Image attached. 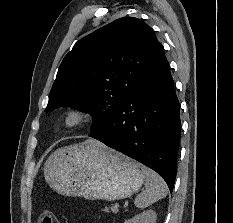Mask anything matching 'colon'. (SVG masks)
Wrapping results in <instances>:
<instances>
[{
  "instance_id": "5ec220e1",
  "label": "colon",
  "mask_w": 233,
  "mask_h": 223,
  "mask_svg": "<svg viewBox=\"0 0 233 223\" xmlns=\"http://www.w3.org/2000/svg\"><path fill=\"white\" fill-rule=\"evenodd\" d=\"M39 223H61V221L50 211H45L39 218Z\"/></svg>"
}]
</instances>
